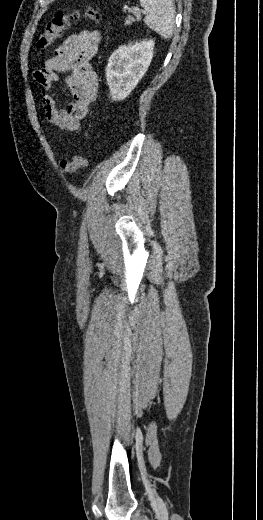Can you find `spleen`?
Instances as JSON below:
<instances>
[{"instance_id":"1","label":"spleen","mask_w":263,"mask_h":520,"mask_svg":"<svg viewBox=\"0 0 263 520\" xmlns=\"http://www.w3.org/2000/svg\"><path fill=\"white\" fill-rule=\"evenodd\" d=\"M140 5L145 9V24L162 38H171L175 23L173 0H140Z\"/></svg>"}]
</instances>
